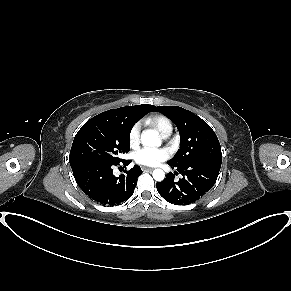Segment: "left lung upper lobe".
Segmentation results:
<instances>
[{
    "instance_id": "1",
    "label": "left lung upper lobe",
    "mask_w": 291,
    "mask_h": 291,
    "mask_svg": "<svg viewBox=\"0 0 291 291\" xmlns=\"http://www.w3.org/2000/svg\"><path fill=\"white\" fill-rule=\"evenodd\" d=\"M154 110L170 118L180 133V148L169 164L180 166L197 159H222L215 132L200 117L178 106H158Z\"/></svg>"
}]
</instances>
